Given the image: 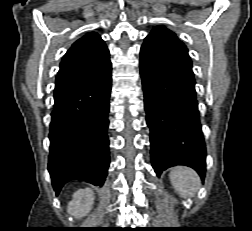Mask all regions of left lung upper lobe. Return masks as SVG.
I'll use <instances>...</instances> for the list:
<instances>
[{"label":"left lung upper lobe","mask_w":252,"mask_h":231,"mask_svg":"<svg viewBox=\"0 0 252 231\" xmlns=\"http://www.w3.org/2000/svg\"><path fill=\"white\" fill-rule=\"evenodd\" d=\"M159 37L170 38V39L177 40V41L181 42L177 38V36H176V34L174 32H172L169 29H167L165 27H162V26H156V27H154V29L145 38V41L150 40V39H156V38H159Z\"/></svg>","instance_id":"5c2ea615"}]
</instances>
